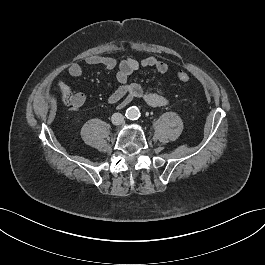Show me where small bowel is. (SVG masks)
I'll list each match as a JSON object with an SVG mask.
<instances>
[{"label": "small bowel", "mask_w": 265, "mask_h": 265, "mask_svg": "<svg viewBox=\"0 0 265 265\" xmlns=\"http://www.w3.org/2000/svg\"><path fill=\"white\" fill-rule=\"evenodd\" d=\"M84 62L89 66H100L107 70L117 69L116 79L119 86L108 97L110 104H118L119 108H124L134 99H140L153 107H162L168 104L162 83L155 89H145L139 84L128 81L129 77L140 67L154 68L160 74L167 73L169 66L164 60L148 56L141 60L126 58L117 61L112 57L90 55L85 58ZM68 73L72 77H80L83 74V68L80 64L72 63L68 67ZM58 87L65 93L71 92V88L62 81L58 82ZM85 100V95L77 92L71 96L70 104L73 108L78 109L83 106Z\"/></svg>", "instance_id": "small-bowel-1"}]
</instances>
